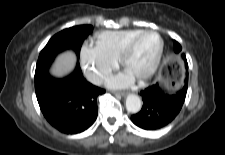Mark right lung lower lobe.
<instances>
[{"label": "right lung lower lobe", "mask_w": 225, "mask_h": 155, "mask_svg": "<svg viewBox=\"0 0 225 155\" xmlns=\"http://www.w3.org/2000/svg\"><path fill=\"white\" fill-rule=\"evenodd\" d=\"M35 91L44 117L66 134L83 132L94 123L97 97L105 92L84 79L79 62L63 79H54L47 68L35 76Z\"/></svg>", "instance_id": "obj_1"}]
</instances>
